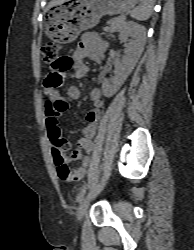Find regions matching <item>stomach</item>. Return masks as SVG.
Returning a JSON list of instances; mask_svg holds the SVG:
<instances>
[{"label": "stomach", "instance_id": "stomach-1", "mask_svg": "<svg viewBox=\"0 0 194 250\" xmlns=\"http://www.w3.org/2000/svg\"><path fill=\"white\" fill-rule=\"evenodd\" d=\"M139 1L68 0L48 9L45 15L46 34L57 43H71L82 31L94 27L103 15L125 13L134 8Z\"/></svg>", "mask_w": 194, "mask_h": 250}]
</instances>
